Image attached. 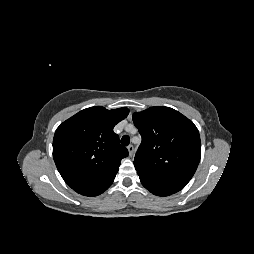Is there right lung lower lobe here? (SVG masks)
I'll use <instances>...</instances> for the list:
<instances>
[{"label": "right lung lower lobe", "instance_id": "98d812e1", "mask_svg": "<svg viewBox=\"0 0 254 254\" xmlns=\"http://www.w3.org/2000/svg\"><path fill=\"white\" fill-rule=\"evenodd\" d=\"M115 176H116V173L98 182L84 185L78 188H74V190L84 196H90V197L97 196L103 193L105 190H107L111 186Z\"/></svg>", "mask_w": 254, "mask_h": 254}]
</instances>
